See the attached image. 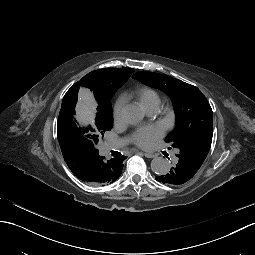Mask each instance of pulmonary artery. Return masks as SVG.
Listing matches in <instances>:
<instances>
[{"instance_id": "1", "label": "pulmonary artery", "mask_w": 255, "mask_h": 255, "mask_svg": "<svg viewBox=\"0 0 255 255\" xmlns=\"http://www.w3.org/2000/svg\"><path fill=\"white\" fill-rule=\"evenodd\" d=\"M156 112H157L156 108H153L151 110H147L148 114H155ZM133 136H134V138L139 139V138H141L142 133H141V131L136 130V131H134ZM107 148L109 150H115V149H117V146L115 144L108 143ZM169 162L171 164H176L178 162V152L176 150H171L169 152Z\"/></svg>"}]
</instances>
